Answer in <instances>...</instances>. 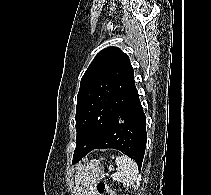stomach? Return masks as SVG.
<instances>
[{
  "mask_svg": "<svg viewBox=\"0 0 211 195\" xmlns=\"http://www.w3.org/2000/svg\"><path fill=\"white\" fill-rule=\"evenodd\" d=\"M85 167L81 182L82 187L77 195H92L94 185L101 180L103 175V168L99 161L91 162Z\"/></svg>",
  "mask_w": 211,
  "mask_h": 195,
  "instance_id": "0dacf381",
  "label": "stomach"
}]
</instances>
